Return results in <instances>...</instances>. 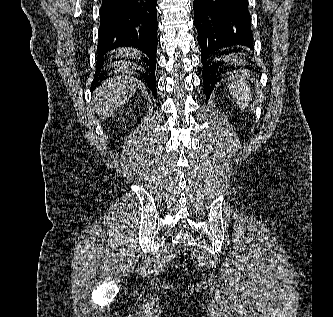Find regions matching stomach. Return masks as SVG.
Listing matches in <instances>:
<instances>
[{
    "label": "stomach",
    "instance_id": "stomach-1",
    "mask_svg": "<svg viewBox=\"0 0 333 317\" xmlns=\"http://www.w3.org/2000/svg\"><path fill=\"white\" fill-rule=\"evenodd\" d=\"M217 62H244V55H217ZM243 82V81H232Z\"/></svg>",
    "mask_w": 333,
    "mask_h": 317
}]
</instances>
